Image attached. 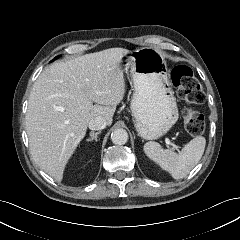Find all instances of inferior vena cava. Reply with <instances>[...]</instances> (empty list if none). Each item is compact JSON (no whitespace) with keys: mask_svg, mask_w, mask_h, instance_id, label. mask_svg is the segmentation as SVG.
I'll list each match as a JSON object with an SVG mask.
<instances>
[{"mask_svg":"<svg viewBox=\"0 0 240 240\" xmlns=\"http://www.w3.org/2000/svg\"><path fill=\"white\" fill-rule=\"evenodd\" d=\"M106 125V120L103 117L98 116L89 121L88 127L90 130H102Z\"/></svg>","mask_w":240,"mask_h":240,"instance_id":"1","label":"inferior vena cava"}]
</instances>
